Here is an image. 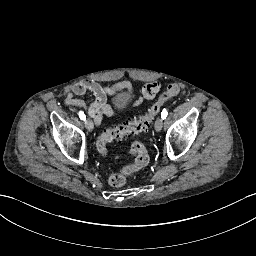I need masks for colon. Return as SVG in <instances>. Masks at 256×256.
<instances>
[{
	"label": "colon",
	"mask_w": 256,
	"mask_h": 256,
	"mask_svg": "<svg viewBox=\"0 0 256 256\" xmlns=\"http://www.w3.org/2000/svg\"><path fill=\"white\" fill-rule=\"evenodd\" d=\"M180 91L178 84H170L163 91L150 107V109L135 119L127 120L115 127L104 130L98 141L97 150L101 154L107 153V145L119 139L129 138L135 134L147 131L157 115L161 112L166 102L174 98ZM131 152L136 156L134 164L124 167L117 173H113L108 178V183L112 187H121L127 182V178L140 167H146L150 161V155L143 142L137 141L131 145Z\"/></svg>",
	"instance_id": "5ec220e1"
}]
</instances>
